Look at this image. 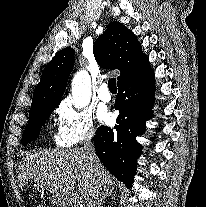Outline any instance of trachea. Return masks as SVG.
Returning <instances> with one entry per match:
<instances>
[{
	"label": "trachea",
	"instance_id": "1",
	"mask_svg": "<svg viewBox=\"0 0 206 207\" xmlns=\"http://www.w3.org/2000/svg\"><path fill=\"white\" fill-rule=\"evenodd\" d=\"M108 87L110 91H117V86H116V79L111 78L108 81Z\"/></svg>",
	"mask_w": 206,
	"mask_h": 207
}]
</instances>
